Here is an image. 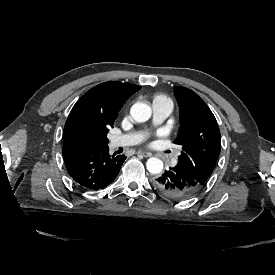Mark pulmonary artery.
Here are the masks:
<instances>
[{"instance_id":"obj_1","label":"pulmonary artery","mask_w":275,"mask_h":275,"mask_svg":"<svg viewBox=\"0 0 275 275\" xmlns=\"http://www.w3.org/2000/svg\"><path fill=\"white\" fill-rule=\"evenodd\" d=\"M152 109L155 112V114H154L155 120H153L151 122V125L153 123L160 124L159 121L166 120L172 110L170 101L164 97L155 98L152 102ZM139 141H140V137H139V135H137L135 133L123 134V135L112 138L110 140L109 146L111 149H117L119 147L135 145ZM168 164L172 168H175L178 166L179 161L175 154H172L170 156Z\"/></svg>"}]
</instances>
